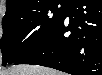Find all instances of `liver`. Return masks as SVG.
Segmentation results:
<instances>
[{
  "label": "liver",
  "instance_id": "obj_1",
  "mask_svg": "<svg viewBox=\"0 0 102 75\" xmlns=\"http://www.w3.org/2000/svg\"><path fill=\"white\" fill-rule=\"evenodd\" d=\"M2 73L3 75H61L53 69L34 65L13 66Z\"/></svg>",
  "mask_w": 102,
  "mask_h": 75
}]
</instances>
